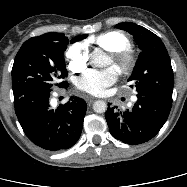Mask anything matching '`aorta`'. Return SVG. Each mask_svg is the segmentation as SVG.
<instances>
[{"label": "aorta", "mask_w": 187, "mask_h": 187, "mask_svg": "<svg viewBox=\"0 0 187 187\" xmlns=\"http://www.w3.org/2000/svg\"><path fill=\"white\" fill-rule=\"evenodd\" d=\"M107 59L108 57L100 49H96L91 54V63L96 66L104 65L107 62ZM93 110L96 113H104L107 110V104L102 100L95 101L93 104Z\"/></svg>", "instance_id": "aorta-1"}]
</instances>
